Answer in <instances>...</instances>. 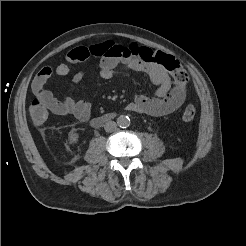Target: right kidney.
Masks as SVG:
<instances>
[{
    "label": "right kidney",
    "mask_w": 246,
    "mask_h": 246,
    "mask_svg": "<svg viewBox=\"0 0 246 246\" xmlns=\"http://www.w3.org/2000/svg\"><path fill=\"white\" fill-rule=\"evenodd\" d=\"M79 134L74 131L69 136V143L70 144H76L78 142Z\"/></svg>",
    "instance_id": "obj_1"
}]
</instances>
